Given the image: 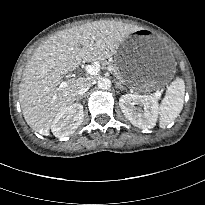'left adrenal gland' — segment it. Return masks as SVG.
I'll use <instances>...</instances> for the list:
<instances>
[{"instance_id":"1","label":"left adrenal gland","mask_w":205,"mask_h":205,"mask_svg":"<svg viewBox=\"0 0 205 205\" xmlns=\"http://www.w3.org/2000/svg\"><path fill=\"white\" fill-rule=\"evenodd\" d=\"M116 86H117L120 90H124V89H125V87H123L120 82H117V83H116Z\"/></svg>"}]
</instances>
